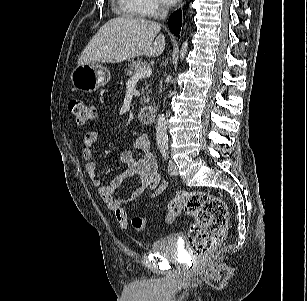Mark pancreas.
I'll return each instance as SVG.
<instances>
[{
    "instance_id": "cf45deb5",
    "label": "pancreas",
    "mask_w": 307,
    "mask_h": 301,
    "mask_svg": "<svg viewBox=\"0 0 307 301\" xmlns=\"http://www.w3.org/2000/svg\"><path fill=\"white\" fill-rule=\"evenodd\" d=\"M143 67H148L147 61L143 59H137L136 61H131L125 65V72L127 76H133L138 69L143 68ZM150 92L151 90L149 89L148 85H146L145 88H142L141 94L143 95V97L140 100V103L142 105L149 103L150 101L149 93Z\"/></svg>"
}]
</instances>
